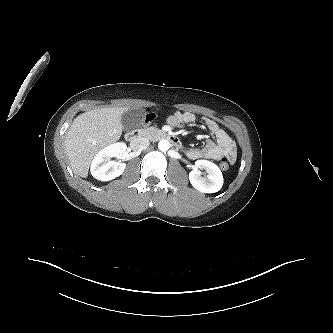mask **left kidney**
I'll use <instances>...</instances> for the list:
<instances>
[{"label": "left kidney", "instance_id": "1", "mask_svg": "<svg viewBox=\"0 0 333 333\" xmlns=\"http://www.w3.org/2000/svg\"><path fill=\"white\" fill-rule=\"evenodd\" d=\"M199 169L207 172V178L202 177ZM191 185L202 193H215L222 188L223 175L217 165L208 160H197L194 169L189 173Z\"/></svg>", "mask_w": 333, "mask_h": 333}]
</instances>
